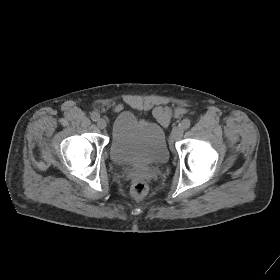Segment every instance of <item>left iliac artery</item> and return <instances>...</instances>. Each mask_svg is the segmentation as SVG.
Masks as SVG:
<instances>
[{"mask_svg":"<svg viewBox=\"0 0 280 280\" xmlns=\"http://www.w3.org/2000/svg\"><path fill=\"white\" fill-rule=\"evenodd\" d=\"M191 125V122L189 119H183L180 126L183 128V129H188Z\"/></svg>","mask_w":280,"mask_h":280,"instance_id":"44dca946","label":"left iliac artery"}]
</instances>
